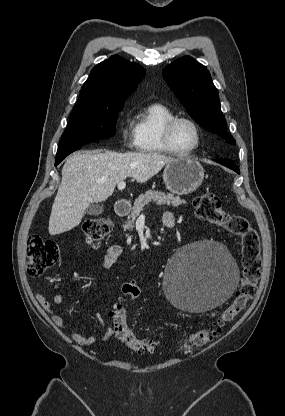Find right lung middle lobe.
I'll return each mask as SVG.
<instances>
[{
	"instance_id": "obj_1",
	"label": "right lung middle lobe",
	"mask_w": 285,
	"mask_h": 416,
	"mask_svg": "<svg viewBox=\"0 0 285 416\" xmlns=\"http://www.w3.org/2000/svg\"><path fill=\"white\" fill-rule=\"evenodd\" d=\"M123 106L124 102L92 106L76 104L61 136L59 147L113 136L115 123Z\"/></svg>"
}]
</instances>
